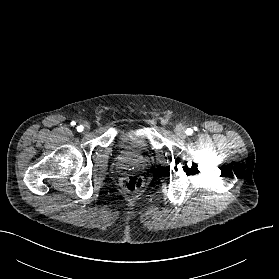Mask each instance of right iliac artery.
I'll return each mask as SVG.
<instances>
[{
    "label": "right iliac artery",
    "mask_w": 279,
    "mask_h": 279,
    "mask_svg": "<svg viewBox=\"0 0 279 279\" xmlns=\"http://www.w3.org/2000/svg\"><path fill=\"white\" fill-rule=\"evenodd\" d=\"M71 125H75V122H72ZM77 131L82 132V131H83V126H82V125H79V126L77 127Z\"/></svg>",
    "instance_id": "1"
}]
</instances>
